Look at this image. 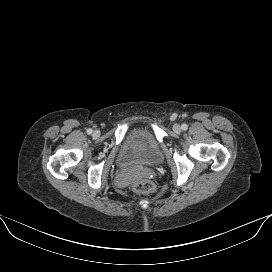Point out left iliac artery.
Returning a JSON list of instances; mask_svg holds the SVG:
<instances>
[{"label":"left iliac artery","mask_w":272,"mask_h":272,"mask_svg":"<svg viewBox=\"0 0 272 272\" xmlns=\"http://www.w3.org/2000/svg\"><path fill=\"white\" fill-rule=\"evenodd\" d=\"M181 128H182V130H187L188 129V126H187V124H182V126H181Z\"/></svg>","instance_id":"1"}]
</instances>
